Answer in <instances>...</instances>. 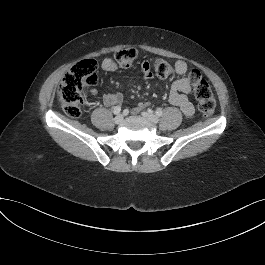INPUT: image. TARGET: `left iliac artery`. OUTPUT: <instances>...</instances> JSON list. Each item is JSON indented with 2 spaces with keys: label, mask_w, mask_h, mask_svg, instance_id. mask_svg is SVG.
Returning <instances> with one entry per match:
<instances>
[{
  "label": "left iliac artery",
  "mask_w": 265,
  "mask_h": 265,
  "mask_svg": "<svg viewBox=\"0 0 265 265\" xmlns=\"http://www.w3.org/2000/svg\"><path fill=\"white\" fill-rule=\"evenodd\" d=\"M155 113H156L157 116H162V114H163V112H162L161 109H157V110L155 111Z\"/></svg>",
  "instance_id": "44dca946"
}]
</instances>
